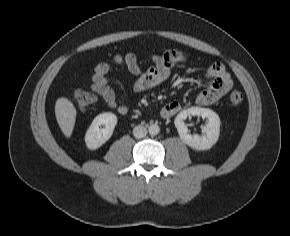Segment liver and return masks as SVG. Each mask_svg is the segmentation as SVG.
<instances>
[{"label": "liver", "instance_id": "obj_1", "mask_svg": "<svg viewBox=\"0 0 290 236\" xmlns=\"http://www.w3.org/2000/svg\"><path fill=\"white\" fill-rule=\"evenodd\" d=\"M55 116L63 134L67 138L71 137L76 121L73 103L65 97L58 98L55 103Z\"/></svg>", "mask_w": 290, "mask_h": 236}]
</instances>
